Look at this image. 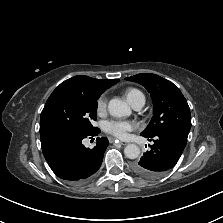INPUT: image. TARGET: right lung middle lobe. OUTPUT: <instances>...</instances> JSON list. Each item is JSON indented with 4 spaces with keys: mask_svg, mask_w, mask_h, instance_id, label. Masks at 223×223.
<instances>
[{
    "mask_svg": "<svg viewBox=\"0 0 223 223\" xmlns=\"http://www.w3.org/2000/svg\"><path fill=\"white\" fill-rule=\"evenodd\" d=\"M100 94L79 89L54 90L40 116V134L55 130L94 131Z\"/></svg>",
    "mask_w": 223,
    "mask_h": 223,
    "instance_id": "dd1d6c3e",
    "label": "right lung middle lobe"
}]
</instances>
